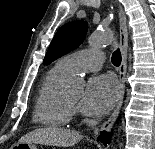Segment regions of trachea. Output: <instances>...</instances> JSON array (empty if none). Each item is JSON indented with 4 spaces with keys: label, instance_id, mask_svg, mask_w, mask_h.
Returning <instances> with one entry per match:
<instances>
[{
    "label": "trachea",
    "instance_id": "trachea-1",
    "mask_svg": "<svg viewBox=\"0 0 155 149\" xmlns=\"http://www.w3.org/2000/svg\"><path fill=\"white\" fill-rule=\"evenodd\" d=\"M112 63L115 66H119L121 64V52L120 49H116L112 54Z\"/></svg>",
    "mask_w": 155,
    "mask_h": 149
}]
</instances>
